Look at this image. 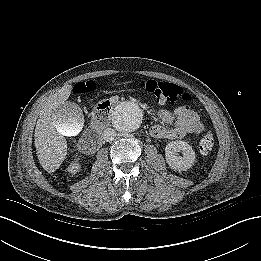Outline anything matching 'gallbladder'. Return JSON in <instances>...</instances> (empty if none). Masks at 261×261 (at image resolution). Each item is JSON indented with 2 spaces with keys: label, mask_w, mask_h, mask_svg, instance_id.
Listing matches in <instances>:
<instances>
[{
  "label": "gallbladder",
  "mask_w": 261,
  "mask_h": 261,
  "mask_svg": "<svg viewBox=\"0 0 261 261\" xmlns=\"http://www.w3.org/2000/svg\"><path fill=\"white\" fill-rule=\"evenodd\" d=\"M52 121L65 137H73L80 133L85 125L82 110L74 103L65 102L52 115Z\"/></svg>",
  "instance_id": "obj_1"
}]
</instances>
